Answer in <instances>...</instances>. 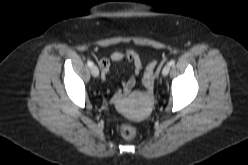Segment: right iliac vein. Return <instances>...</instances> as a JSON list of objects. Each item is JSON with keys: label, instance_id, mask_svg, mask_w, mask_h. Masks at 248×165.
Here are the masks:
<instances>
[{"label": "right iliac vein", "instance_id": "63e3f726", "mask_svg": "<svg viewBox=\"0 0 248 165\" xmlns=\"http://www.w3.org/2000/svg\"><path fill=\"white\" fill-rule=\"evenodd\" d=\"M91 73H92V75H93L94 77H98V75H99V69H98V67L95 66V65H93V66L91 67Z\"/></svg>", "mask_w": 248, "mask_h": 165}]
</instances>
